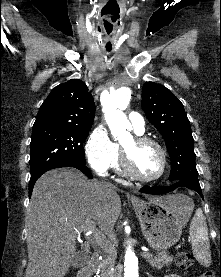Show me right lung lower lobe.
Segmentation results:
<instances>
[{"instance_id":"right-lung-lower-lobe-1","label":"right lung lower lobe","mask_w":221,"mask_h":277,"mask_svg":"<svg viewBox=\"0 0 221 277\" xmlns=\"http://www.w3.org/2000/svg\"><path fill=\"white\" fill-rule=\"evenodd\" d=\"M60 167H74V168H77L79 169L80 171H82L88 178H93L90 170L85 166V164H81V163H76V162H70V163H66V164H63L57 168H60ZM42 175V174H41ZM37 176V177H31L30 179V183H29V197H31V193H32V190H33V186L36 182V180L41 176Z\"/></svg>"}]
</instances>
